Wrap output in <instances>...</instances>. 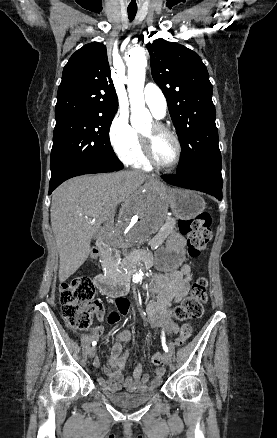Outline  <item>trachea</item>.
I'll return each instance as SVG.
<instances>
[{
	"label": "trachea",
	"instance_id": "obj_1",
	"mask_svg": "<svg viewBox=\"0 0 277 438\" xmlns=\"http://www.w3.org/2000/svg\"><path fill=\"white\" fill-rule=\"evenodd\" d=\"M129 20L132 21L137 13V7L127 9Z\"/></svg>",
	"mask_w": 277,
	"mask_h": 438
}]
</instances>
